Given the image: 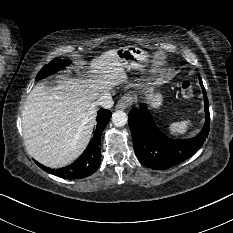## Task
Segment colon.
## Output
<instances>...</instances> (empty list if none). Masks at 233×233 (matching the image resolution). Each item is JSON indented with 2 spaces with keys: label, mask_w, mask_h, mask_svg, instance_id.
<instances>
[{
  "label": "colon",
  "mask_w": 233,
  "mask_h": 233,
  "mask_svg": "<svg viewBox=\"0 0 233 233\" xmlns=\"http://www.w3.org/2000/svg\"><path fill=\"white\" fill-rule=\"evenodd\" d=\"M181 96L186 103L192 101L194 96L193 86L190 81H184L181 84Z\"/></svg>",
  "instance_id": "obj_1"
}]
</instances>
